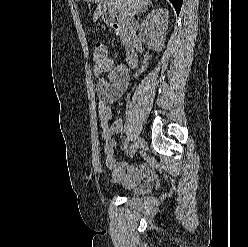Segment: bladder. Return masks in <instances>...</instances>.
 Returning a JSON list of instances; mask_svg holds the SVG:
<instances>
[{
	"mask_svg": "<svg viewBox=\"0 0 248 247\" xmlns=\"http://www.w3.org/2000/svg\"><path fill=\"white\" fill-rule=\"evenodd\" d=\"M148 185L146 184H141L137 187H135L133 190H131L128 194L130 196H137V195H142L148 192Z\"/></svg>",
	"mask_w": 248,
	"mask_h": 247,
	"instance_id": "1",
	"label": "bladder"
}]
</instances>
